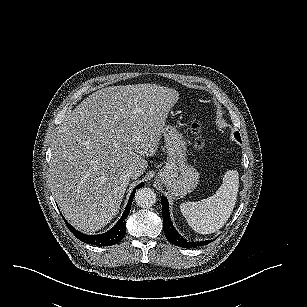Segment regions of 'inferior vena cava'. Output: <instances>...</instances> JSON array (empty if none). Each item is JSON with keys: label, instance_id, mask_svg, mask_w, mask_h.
<instances>
[{"label": "inferior vena cava", "instance_id": "obj_1", "mask_svg": "<svg viewBox=\"0 0 307 307\" xmlns=\"http://www.w3.org/2000/svg\"><path fill=\"white\" fill-rule=\"evenodd\" d=\"M134 175V172L132 173V172H129L128 174H127V177L128 178H130V177H132Z\"/></svg>", "mask_w": 307, "mask_h": 307}]
</instances>
